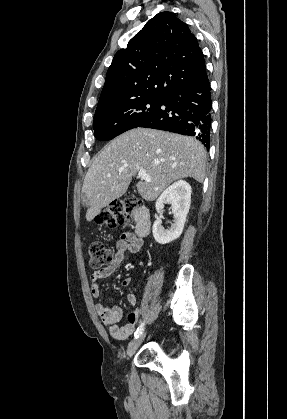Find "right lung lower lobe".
I'll return each instance as SVG.
<instances>
[{
    "label": "right lung lower lobe",
    "instance_id": "1",
    "mask_svg": "<svg viewBox=\"0 0 287 419\" xmlns=\"http://www.w3.org/2000/svg\"><path fill=\"white\" fill-rule=\"evenodd\" d=\"M211 110V87L206 75L166 94L156 111L138 127L194 136L209 150Z\"/></svg>",
    "mask_w": 287,
    "mask_h": 419
}]
</instances>
